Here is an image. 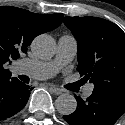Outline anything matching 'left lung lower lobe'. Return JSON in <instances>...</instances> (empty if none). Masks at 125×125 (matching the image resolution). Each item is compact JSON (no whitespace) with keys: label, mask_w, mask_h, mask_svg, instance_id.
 I'll return each mask as SVG.
<instances>
[{"label":"left lung lower lobe","mask_w":125,"mask_h":125,"mask_svg":"<svg viewBox=\"0 0 125 125\" xmlns=\"http://www.w3.org/2000/svg\"><path fill=\"white\" fill-rule=\"evenodd\" d=\"M75 98V112L63 116L70 125H113L125 112V93L118 91L93 90L86 100Z\"/></svg>","instance_id":"left-lung-lower-lobe-1"}]
</instances>
